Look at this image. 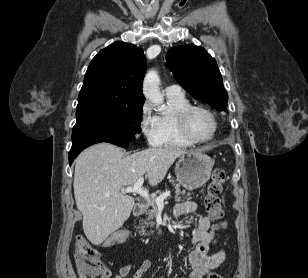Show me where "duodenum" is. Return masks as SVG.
Wrapping results in <instances>:
<instances>
[{"label": "duodenum", "instance_id": "410a0bca", "mask_svg": "<svg viewBox=\"0 0 308 278\" xmlns=\"http://www.w3.org/2000/svg\"><path fill=\"white\" fill-rule=\"evenodd\" d=\"M144 206L142 204H138L134 210V215L138 216L143 212Z\"/></svg>", "mask_w": 308, "mask_h": 278}]
</instances>
